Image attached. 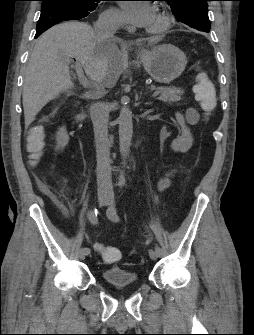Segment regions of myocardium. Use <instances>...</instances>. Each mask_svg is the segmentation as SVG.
Listing matches in <instances>:
<instances>
[{"mask_svg": "<svg viewBox=\"0 0 254 335\" xmlns=\"http://www.w3.org/2000/svg\"><path fill=\"white\" fill-rule=\"evenodd\" d=\"M157 17L159 19V24L155 28H153L151 31L153 33H163L167 31L171 26L170 18L166 16L164 13H159Z\"/></svg>", "mask_w": 254, "mask_h": 335, "instance_id": "1", "label": "myocardium"}]
</instances>
